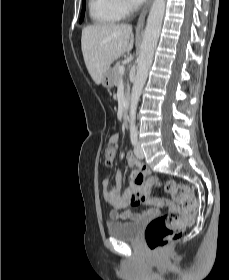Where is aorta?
<instances>
[{"instance_id": "762f6f07", "label": "aorta", "mask_w": 229, "mask_h": 280, "mask_svg": "<svg viewBox=\"0 0 229 280\" xmlns=\"http://www.w3.org/2000/svg\"><path fill=\"white\" fill-rule=\"evenodd\" d=\"M164 12L165 0H154L147 19L140 55L138 58L137 74L132 87L129 112L131 131L136 130L135 122L137 105L153 61L154 51L161 31Z\"/></svg>"}]
</instances>
